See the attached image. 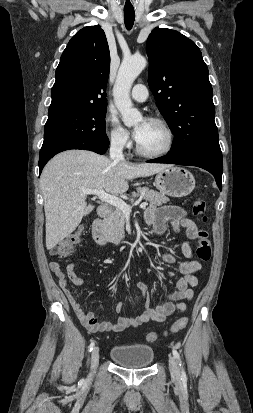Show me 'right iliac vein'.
Masks as SVG:
<instances>
[{"label": "right iliac vein", "instance_id": "1", "mask_svg": "<svg viewBox=\"0 0 253 413\" xmlns=\"http://www.w3.org/2000/svg\"><path fill=\"white\" fill-rule=\"evenodd\" d=\"M98 362H99V348L98 347H94L92 354H91V372L89 377L91 378L92 375L95 372V369L98 366Z\"/></svg>", "mask_w": 253, "mask_h": 413}]
</instances>
